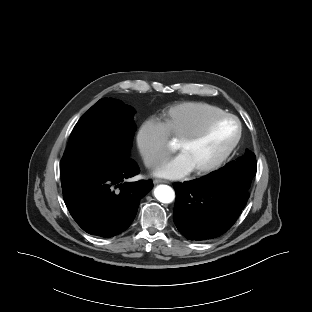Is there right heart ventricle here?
<instances>
[{"label": "right heart ventricle", "instance_id": "right-heart-ventricle-1", "mask_svg": "<svg viewBox=\"0 0 312 312\" xmlns=\"http://www.w3.org/2000/svg\"><path fill=\"white\" fill-rule=\"evenodd\" d=\"M224 113L223 109L212 104L182 102L165 109L160 115V121L168 136L180 140L201 127L208 119Z\"/></svg>", "mask_w": 312, "mask_h": 312}]
</instances>
